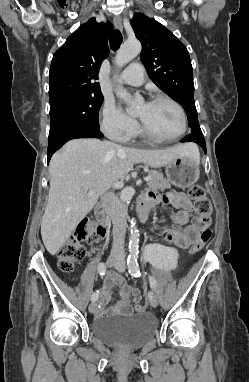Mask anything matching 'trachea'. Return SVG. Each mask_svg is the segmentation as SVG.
Segmentation results:
<instances>
[{"instance_id":"trachea-1","label":"trachea","mask_w":249,"mask_h":382,"mask_svg":"<svg viewBox=\"0 0 249 382\" xmlns=\"http://www.w3.org/2000/svg\"><path fill=\"white\" fill-rule=\"evenodd\" d=\"M123 37L119 30H115L109 39L110 48L113 51H117L122 44Z\"/></svg>"}]
</instances>
